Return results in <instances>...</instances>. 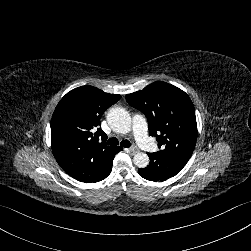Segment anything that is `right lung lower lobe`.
<instances>
[{
    "label": "right lung lower lobe",
    "mask_w": 251,
    "mask_h": 251,
    "mask_svg": "<svg viewBox=\"0 0 251 251\" xmlns=\"http://www.w3.org/2000/svg\"><path fill=\"white\" fill-rule=\"evenodd\" d=\"M121 150H122V149H121ZM121 150H119V151H121ZM119 151H118V152H119ZM111 170H112V163L110 164V166H109V168L107 169V171H106L99 179L93 181V183L105 179V178L110 174Z\"/></svg>",
    "instance_id": "right-lung-lower-lobe-1"
}]
</instances>
